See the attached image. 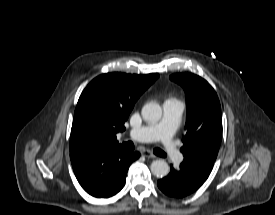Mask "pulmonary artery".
<instances>
[{
  "label": "pulmonary artery",
  "mask_w": 275,
  "mask_h": 215,
  "mask_svg": "<svg viewBox=\"0 0 275 215\" xmlns=\"http://www.w3.org/2000/svg\"><path fill=\"white\" fill-rule=\"evenodd\" d=\"M184 105L181 101L170 99L163 104V117L153 125L131 129L128 136L139 142L159 140L163 151L171 162L181 159V153L173 141V135L179 127Z\"/></svg>",
  "instance_id": "pulmonary-artery-1"
}]
</instances>
